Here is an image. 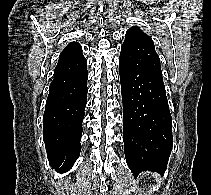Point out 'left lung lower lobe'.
<instances>
[{"instance_id":"obj_1","label":"left lung lower lobe","mask_w":211,"mask_h":195,"mask_svg":"<svg viewBox=\"0 0 211 195\" xmlns=\"http://www.w3.org/2000/svg\"><path fill=\"white\" fill-rule=\"evenodd\" d=\"M123 95V141L134 177L142 171L164 173L173 136L163 78L144 65L119 57Z\"/></svg>"}]
</instances>
